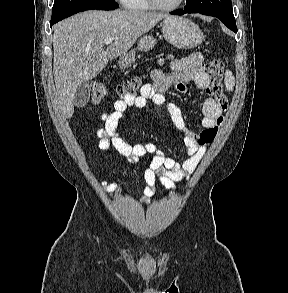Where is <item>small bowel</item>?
Masks as SVG:
<instances>
[{"label":"small bowel","instance_id":"obj_1","mask_svg":"<svg viewBox=\"0 0 288 293\" xmlns=\"http://www.w3.org/2000/svg\"><path fill=\"white\" fill-rule=\"evenodd\" d=\"M169 62L170 72L160 69L151 72L152 84L142 87L139 95H127L114 104V111L102 115V128L97 131L98 147L102 151L110 148L124 156L130 163H138L146 154L152 155L149 167L144 172L146 186L142 191V200L149 202L156 195L155 184L159 180L167 190H174L176 182L188 180L203 158L207 147L217 136L219 127L223 122V109L213 98H206L202 106V130L199 132L187 129L179 108L167 102L164 92L174 87L178 92L185 93L186 84L193 82L199 89L208 88L210 80L205 72L203 57L194 52L187 57L178 59L172 55L160 59L162 65ZM148 101L165 108L170 116L173 126L184 133V146L188 158L179 163L166 156L154 143L135 144L128 143L118 131V125L124 113L129 108L143 109ZM103 187L110 193L117 191L120 183L103 182Z\"/></svg>","mask_w":288,"mask_h":293}]
</instances>
